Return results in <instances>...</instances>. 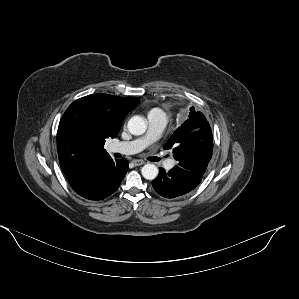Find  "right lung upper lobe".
Segmentation results:
<instances>
[{"label":"right lung upper lobe","instance_id":"obj_1","mask_svg":"<svg viewBox=\"0 0 299 299\" xmlns=\"http://www.w3.org/2000/svg\"><path fill=\"white\" fill-rule=\"evenodd\" d=\"M139 102L93 94L74 101L62 116L57 131L60 167L70 184L82 180L95 163L111 158L105 140L114 138L126 115Z\"/></svg>","mask_w":299,"mask_h":299}]
</instances>
